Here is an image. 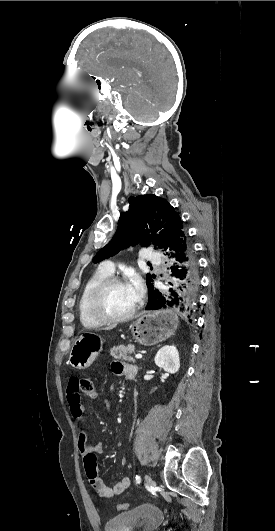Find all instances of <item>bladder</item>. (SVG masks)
Returning a JSON list of instances; mask_svg holds the SVG:
<instances>
[{
    "mask_svg": "<svg viewBox=\"0 0 275 531\" xmlns=\"http://www.w3.org/2000/svg\"><path fill=\"white\" fill-rule=\"evenodd\" d=\"M164 519L162 509L153 504H139L107 519L104 528L105 531H157Z\"/></svg>",
    "mask_w": 275,
    "mask_h": 531,
    "instance_id": "bladder-1",
    "label": "bladder"
}]
</instances>
